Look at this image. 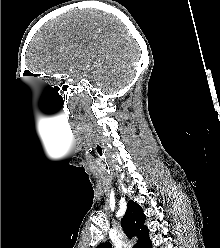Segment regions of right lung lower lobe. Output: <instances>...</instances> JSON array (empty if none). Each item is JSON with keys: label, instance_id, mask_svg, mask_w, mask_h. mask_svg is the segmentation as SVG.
Returning a JSON list of instances; mask_svg holds the SVG:
<instances>
[{"label": "right lung lower lobe", "instance_id": "obj_1", "mask_svg": "<svg viewBox=\"0 0 220 248\" xmlns=\"http://www.w3.org/2000/svg\"><path fill=\"white\" fill-rule=\"evenodd\" d=\"M148 248H152L151 244L148 246Z\"/></svg>", "mask_w": 220, "mask_h": 248}]
</instances>
